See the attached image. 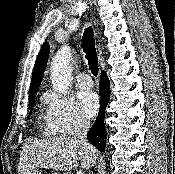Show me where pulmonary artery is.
Returning a JSON list of instances; mask_svg holds the SVG:
<instances>
[{"label":"pulmonary artery","instance_id":"pulmonary-artery-1","mask_svg":"<svg viewBox=\"0 0 175 174\" xmlns=\"http://www.w3.org/2000/svg\"><path fill=\"white\" fill-rule=\"evenodd\" d=\"M76 82L78 86L82 88H89L92 86V83H93L90 75L85 72L79 73L77 75Z\"/></svg>","mask_w":175,"mask_h":174}]
</instances>
